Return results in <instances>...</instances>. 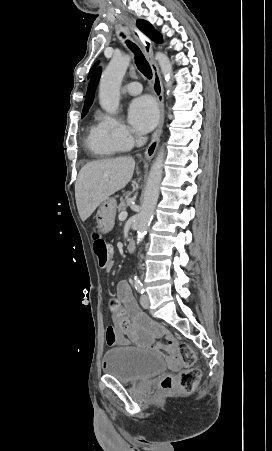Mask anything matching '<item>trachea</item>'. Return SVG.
<instances>
[{"instance_id":"obj_1","label":"trachea","mask_w":272,"mask_h":451,"mask_svg":"<svg viewBox=\"0 0 272 451\" xmlns=\"http://www.w3.org/2000/svg\"><path fill=\"white\" fill-rule=\"evenodd\" d=\"M127 44L135 54V63L137 65V68L140 70L141 73H143V75H145V77L151 78L152 70L146 58L142 54L141 50L136 45H134V43L127 42Z\"/></svg>"}]
</instances>
